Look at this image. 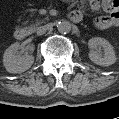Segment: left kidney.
Segmentation results:
<instances>
[{
	"label": "left kidney",
	"instance_id": "left-kidney-1",
	"mask_svg": "<svg viewBox=\"0 0 119 119\" xmlns=\"http://www.w3.org/2000/svg\"><path fill=\"white\" fill-rule=\"evenodd\" d=\"M88 46L90 48L89 58L93 63L101 66H109L116 62L113 46L106 39L101 37L91 38ZM98 46L104 49L105 54L103 57L99 52L95 51Z\"/></svg>",
	"mask_w": 119,
	"mask_h": 119
}]
</instances>
